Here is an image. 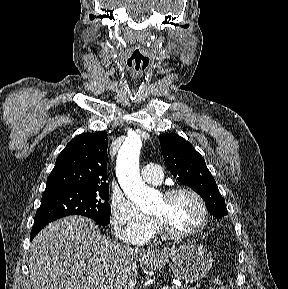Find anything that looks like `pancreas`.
<instances>
[{
    "instance_id": "pancreas-1",
    "label": "pancreas",
    "mask_w": 288,
    "mask_h": 289,
    "mask_svg": "<svg viewBox=\"0 0 288 289\" xmlns=\"http://www.w3.org/2000/svg\"><path fill=\"white\" fill-rule=\"evenodd\" d=\"M200 287V285H196L193 287L184 285V286H174V285H170L168 286V289H198Z\"/></svg>"
}]
</instances>
